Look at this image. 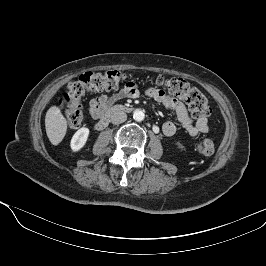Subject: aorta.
Listing matches in <instances>:
<instances>
[{
	"label": "aorta",
	"mask_w": 266,
	"mask_h": 266,
	"mask_svg": "<svg viewBox=\"0 0 266 266\" xmlns=\"http://www.w3.org/2000/svg\"><path fill=\"white\" fill-rule=\"evenodd\" d=\"M144 117H145V114L141 110H135L133 113V118L135 121L140 122V121L144 120Z\"/></svg>",
	"instance_id": "762f6f07"
}]
</instances>
